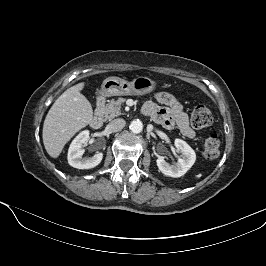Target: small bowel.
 Wrapping results in <instances>:
<instances>
[{
	"label": "small bowel",
	"instance_id": "small-bowel-1",
	"mask_svg": "<svg viewBox=\"0 0 266 266\" xmlns=\"http://www.w3.org/2000/svg\"><path fill=\"white\" fill-rule=\"evenodd\" d=\"M142 110L156 123L168 129L178 128L187 138H194L196 135L190 126L188 115L184 112L182 104L169 93H156L155 101H147Z\"/></svg>",
	"mask_w": 266,
	"mask_h": 266
}]
</instances>
